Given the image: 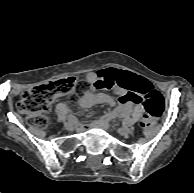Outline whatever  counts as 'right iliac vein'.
Instances as JSON below:
<instances>
[{
    "label": "right iliac vein",
    "mask_w": 194,
    "mask_h": 193,
    "mask_svg": "<svg viewBox=\"0 0 194 193\" xmlns=\"http://www.w3.org/2000/svg\"><path fill=\"white\" fill-rule=\"evenodd\" d=\"M75 124H76V122L68 120L67 122L64 123V126L67 130L71 131L75 128Z\"/></svg>",
    "instance_id": "obj_1"
}]
</instances>
